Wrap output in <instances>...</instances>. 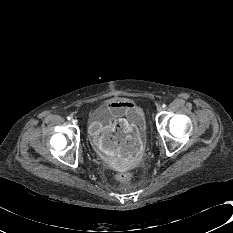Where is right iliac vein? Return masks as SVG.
<instances>
[{"label": "right iliac vein", "instance_id": "1", "mask_svg": "<svg viewBox=\"0 0 233 233\" xmlns=\"http://www.w3.org/2000/svg\"><path fill=\"white\" fill-rule=\"evenodd\" d=\"M72 123L77 124L78 123L77 119H72Z\"/></svg>", "mask_w": 233, "mask_h": 233}]
</instances>
